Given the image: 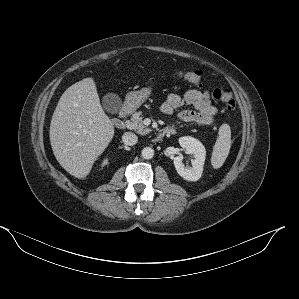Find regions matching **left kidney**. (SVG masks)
I'll use <instances>...</instances> for the list:
<instances>
[{"mask_svg": "<svg viewBox=\"0 0 299 299\" xmlns=\"http://www.w3.org/2000/svg\"><path fill=\"white\" fill-rule=\"evenodd\" d=\"M179 144L187 154L194 157L192 166H185L182 162V156L174 158V166L177 173L188 181H197L203 172V166L206 158V149L196 138L184 136L179 138Z\"/></svg>", "mask_w": 299, "mask_h": 299, "instance_id": "1", "label": "left kidney"}]
</instances>
